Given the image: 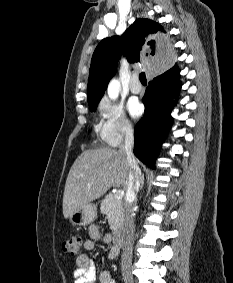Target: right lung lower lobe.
I'll return each mask as SVG.
<instances>
[{
    "label": "right lung lower lobe",
    "instance_id": "obj_1",
    "mask_svg": "<svg viewBox=\"0 0 233 283\" xmlns=\"http://www.w3.org/2000/svg\"><path fill=\"white\" fill-rule=\"evenodd\" d=\"M180 70L174 65L153 78L142 99L145 113L134 131V154L144 164L155 168V160L172 124L170 113L181 88Z\"/></svg>",
    "mask_w": 233,
    "mask_h": 283
}]
</instances>
